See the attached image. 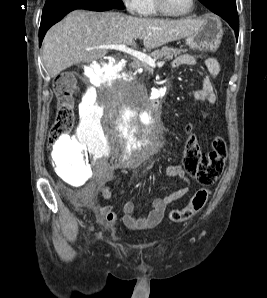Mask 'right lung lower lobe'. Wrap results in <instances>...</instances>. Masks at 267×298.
I'll use <instances>...</instances> for the list:
<instances>
[{
	"label": "right lung lower lobe",
	"instance_id": "right-lung-lower-lobe-1",
	"mask_svg": "<svg viewBox=\"0 0 267 298\" xmlns=\"http://www.w3.org/2000/svg\"><path fill=\"white\" fill-rule=\"evenodd\" d=\"M113 8L114 7L112 5L103 4L97 0H65L60 2L47 12L42 13L39 29V45H41L46 31L72 10L86 9L93 11H106Z\"/></svg>",
	"mask_w": 267,
	"mask_h": 298
}]
</instances>
